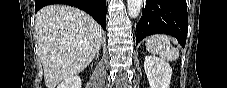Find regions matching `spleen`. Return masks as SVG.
<instances>
[{
    "mask_svg": "<svg viewBox=\"0 0 227 88\" xmlns=\"http://www.w3.org/2000/svg\"><path fill=\"white\" fill-rule=\"evenodd\" d=\"M147 51L152 54H158L162 59L174 61L179 57V50L170 45V39L167 35L157 34L146 39Z\"/></svg>",
    "mask_w": 227,
    "mask_h": 88,
    "instance_id": "spleen-1",
    "label": "spleen"
}]
</instances>
